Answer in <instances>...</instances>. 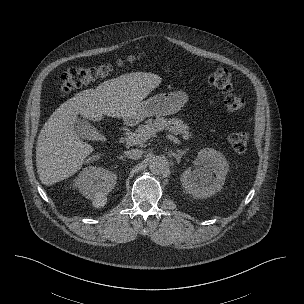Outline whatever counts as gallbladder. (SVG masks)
Returning <instances> with one entry per match:
<instances>
[{"instance_id":"gallbladder-1","label":"gallbladder","mask_w":304,"mask_h":304,"mask_svg":"<svg viewBox=\"0 0 304 304\" xmlns=\"http://www.w3.org/2000/svg\"><path fill=\"white\" fill-rule=\"evenodd\" d=\"M74 130L83 139H92L97 132V129L89 121L81 117H77L74 121Z\"/></svg>"}]
</instances>
